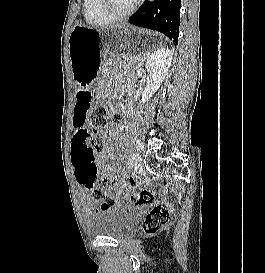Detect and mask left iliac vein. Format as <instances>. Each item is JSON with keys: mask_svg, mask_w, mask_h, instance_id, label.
<instances>
[{"mask_svg": "<svg viewBox=\"0 0 265 273\" xmlns=\"http://www.w3.org/2000/svg\"><path fill=\"white\" fill-rule=\"evenodd\" d=\"M138 144L140 145L141 150L144 148V143L140 140H138ZM134 167L137 172H141L143 169V163L142 158L140 156H137L134 160Z\"/></svg>", "mask_w": 265, "mask_h": 273, "instance_id": "obj_1", "label": "left iliac vein"}]
</instances>
